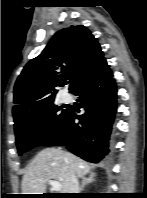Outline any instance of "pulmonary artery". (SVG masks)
<instances>
[{
  "label": "pulmonary artery",
  "instance_id": "1",
  "mask_svg": "<svg viewBox=\"0 0 147 198\" xmlns=\"http://www.w3.org/2000/svg\"><path fill=\"white\" fill-rule=\"evenodd\" d=\"M61 99L63 102L67 103L71 100V96L68 93H63Z\"/></svg>",
  "mask_w": 147,
  "mask_h": 198
}]
</instances>
